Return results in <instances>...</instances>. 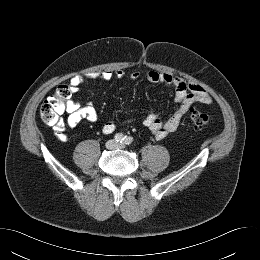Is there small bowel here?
Listing matches in <instances>:
<instances>
[{
  "mask_svg": "<svg viewBox=\"0 0 260 260\" xmlns=\"http://www.w3.org/2000/svg\"><path fill=\"white\" fill-rule=\"evenodd\" d=\"M125 73L121 69L117 70H100L87 72L84 74L75 75L70 78L69 85L72 90H76L86 81H108L112 78L122 79ZM140 77L138 71L130 73V78L137 80ZM145 77L152 83H162L174 89V102L177 104V109L166 120L162 121L157 111L151 110L143 120V125L157 139H164L171 133L175 132L179 127L184 115L189 111L193 104L199 103L209 105L213 102L210 93L201 85L185 80L184 78L172 75L166 72L147 71ZM66 124L70 128L76 127L81 121L88 120L96 122L98 120L97 110L92 105H81L80 103L69 100L67 106ZM116 129L114 122H106L102 127L104 134H110ZM64 124L61 123L57 127L59 137L66 140L67 137L63 133Z\"/></svg>",
  "mask_w": 260,
  "mask_h": 260,
  "instance_id": "1",
  "label": "small bowel"
}]
</instances>
